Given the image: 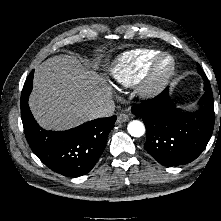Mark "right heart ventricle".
<instances>
[{
    "label": "right heart ventricle",
    "mask_w": 221,
    "mask_h": 221,
    "mask_svg": "<svg viewBox=\"0 0 221 221\" xmlns=\"http://www.w3.org/2000/svg\"><path fill=\"white\" fill-rule=\"evenodd\" d=\"M155 49H134L120 54L111 64L109 72L113 80L124 87L137 84L152 61L160 54Z\"/></svg>",
    "instance_id": "obj_1"
}]
</instances>
